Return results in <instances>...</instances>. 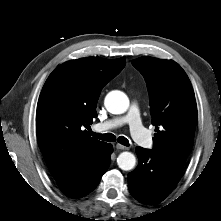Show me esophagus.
Returning <instances> with one entry per match:
<instances>
[{"mask_svg": "<svg viewBox=\"0 0 221 221\" xmlns=\"http://www.w3.org/2000/svg\"><path fill=\"white\" fill-rule=\"evenodd\" d=\"M116 148L120 150H129V147L121 145V144H116Z\"/></svg>", "mask_w": 221, "mask_h": 221, "instance_id": "34e87169", "label": "esophagus"}]
</instances>
